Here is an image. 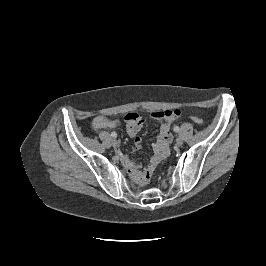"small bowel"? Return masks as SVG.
I'll use <instances>...</instances> for the list:
<instances>
[{"label":"small bowel","instance_id":"obj_1","mask_svg":"<svg viewBox=\"0 0 266 266\" xmlns=\"http://www.w3.org/2000/svg\"><path fill=\"white\" fill-rule=\"evenodd\" d=\"M180 116V111L178 109L167 110V111H157L152 113L151 118L160 124V134L156 143L153 144L152 149L155 153L153 158L147 167L140 171L139 168L129 161L127 158L123 157L122 162L124 167L131 172L136 178L144 180L149 177L151 172L155 169L157 164L162 161L169 153V147L172 142V134L170 130L171 123ZM144 119L137 113H129L125 116V123L127 132L130 136L134 137V143L136 148H140L142 144V139L137 136L144 125ZM117 126L115 121L108 118L97 116L93 119L92 127L95 131H100L102 129L114 128Z\"/></svg>","mask_w":266,"mask_h":266}]
</instances>
